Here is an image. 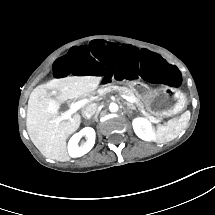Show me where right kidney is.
<instances>
[{
  "label": "right kidney",
  "instance_id": "ca27d5eb",
  "mask_svg": "<svg viewBox=\"0 0 215 215\" xmlns=\"http://www.w3.org/2000/svg\"><path fill=\"white\" fill-rule=\"evenodd\" d=\"M82 135L87 136V141L83 146H78V141ZM95 143V130L91 127H85L80 132L72 135L68 141V154L72 158L81 157L89 152Z\"/></svg>",
  "mask_w": 215,
  "mask_h": 215
}]
</instances>
